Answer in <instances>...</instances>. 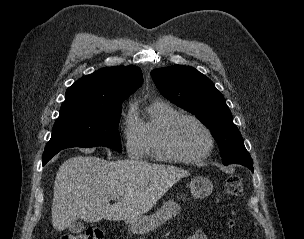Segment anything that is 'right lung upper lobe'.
I'll list each match as a JSON object with an SVG mask.
<instances>
[{
    "instance_id": "cb5924a9",
    "label": "right lung upper lobe",
    "mask_w": 304,
    "mask_h": 239,
    "mask_svg": "<svg viewBox=\"0 0 304 239\" xmlns=\"http://www.w3.org/2000/svg\"><path fill=\"white\" fill-rule=\"evenodd\" d=\"M143 82L139 67H108L78 79L66 91L60 111L121 106Z\"/></svg>"
}]
</instances>
